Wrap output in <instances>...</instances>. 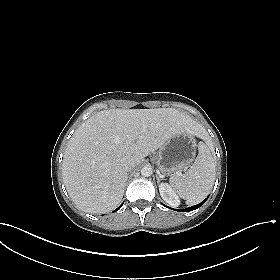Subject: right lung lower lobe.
<instances>
[{
	"instance_id": "98d812e1",
	"label": "right lung lower lobe",
	"mask_w": 280,
	"mask_h": 280,
	"mask_svg": "<svg viewBox=\"0 0 280 280\" xmlns=\"http://www.w3.org/2000/svg\"><path fill=\"white\" fill-rule=\"evenodd\" d=\"M123 204H121L115 211L119 210Z\"/></svg>"
}]
</instances>
